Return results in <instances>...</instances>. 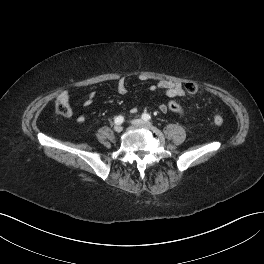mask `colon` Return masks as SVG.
I'll list each match as a JSON object with an SVG mask.
<instances>
[{
    "label": "colon",
    "mask_w": 264,
    "mask_h": 264,
    "mask_svg": "<svg viewBox=\"0 0 264 264\" xmlns=\"http://www.w3.org/2000/svg\"><path fill=\"white\" fill-rule=\"evenodd\" d=\"M185 91L191 95L196 94L198 92V86H197V84H195L193 82L186 83L185 84ZM167 108H168V110H170L171 112H173L179 116H184L183 107L175 100H170L167 104ZM56 112L59 115L67 116L68 108L64 104H61L58 102L56 105ZM213 121L216 125H219V126L222 125L224 122L222 116L219 114L214 115Z\"/></svg>",
    "instance_id": "obj_1"
}]
</instances>
